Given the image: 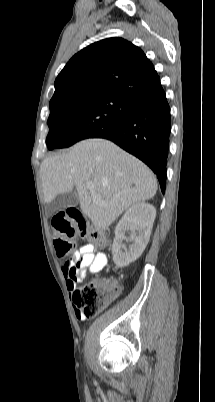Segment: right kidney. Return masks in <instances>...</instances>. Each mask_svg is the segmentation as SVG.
Masks as SVG:
<instances>
[{"mask_svg": "<svg viewBox=\"0 0 215 402\" xmlns=\"http://www.w3.org/2000/svg\"><path fill=\"white\" fill-rule=\"evenodd\" d=\"M156 209L153 205L139 202L132 205L123 215L115 228V238L112 245L113 261L118 267H127L137 260L148 244ZM130 231V237L125 232ZM127 240L128 248L123 244Z\"/></svg>", "mask_w": 215, "mask_h": 402, "instance_id": "right-kidney-1", "label": "right kidney"}]
</instances>
